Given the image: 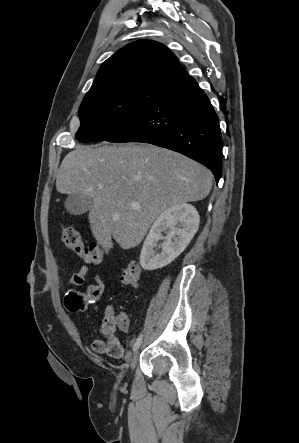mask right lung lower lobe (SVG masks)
Returning <instances> with one entry per match:
<instances>
[{
	"label": "right lung lower lobe",
	"mask_w": 299,
	"mask_h": 443,
	"mask_svg": "<svg viewBox=\"0 0 299 443\" xmlns=\"http://www.w3.org/2000/svg\"><path fill=\"white\" fill-rule=\"evenodd\" d=\"M143 142L182 153L208 166L218 183L222 137L218 116L194 78L166 89L137 120L107 139Z\"/></svg>",
	"instance_id": "1"
}]
</instances>
